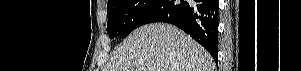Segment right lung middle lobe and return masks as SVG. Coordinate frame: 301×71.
<instances>
[{
	"instance_id": "obj_1",
	"label": "right lung middle lobe",
	"mask_w": 301,
	"mask_h": 71,
	"mask_svg": "<svg viewBox=\"0 0 301 71\" xmlns=\"http://www.w3.org/2000/svg\"><path fill=\"white\" fill-rule=\"evenodd\" d=\"M158 0H108L107 33L110 38L127 36Z\"/></svg>"
}]
</instances>
